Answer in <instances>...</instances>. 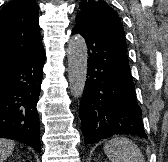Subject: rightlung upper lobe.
<instances>
[{
    "label": "right lung upper lobe",
    "mask_w": 168,
    "mask_h": 162,
    "mask_svg": "<svg viewBox=\"0 0 168 162\" xmlns=\"http://www.w3.org/2000/svg\"><path fill=\"white\" fill-rule=\"evenodd\" d=\"M34 0H12L0 10V70L44 51Z\"/></svg>",
    "instance_id": "1"
}]
</instances>
